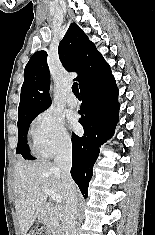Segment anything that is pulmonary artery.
<instances>
[{
    "instance_id": "pulmonary-artery-1",
    "label": "pulmonary artery",
    "mask_w": 155,
    "mask_h": 235,
    "mask_svg": "<svg viewBox=\"0 0 155 235\" xmlns=\"http://www.w3.org/2000/svg\"><path fill=\"white\" fill-rule=\"evenodd\" d=\"M66 102L70 107H76L78 105V100L72 92L67 95Z\"/></svg>"
}]
</instances>
